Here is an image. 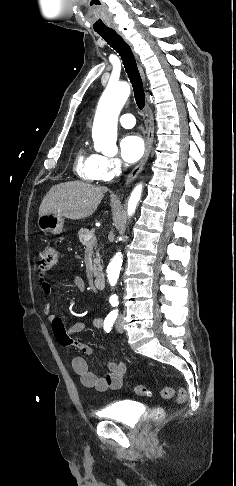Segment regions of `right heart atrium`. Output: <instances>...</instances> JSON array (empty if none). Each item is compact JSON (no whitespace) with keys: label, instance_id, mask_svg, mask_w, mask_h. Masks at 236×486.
<instances>
[{"label":"right heart atrium","instance_id":"d8ad5b80","mask_svg":"<svg viewBox=\"0 0 236 486\" xmlns=\"http://www.w3.org/2000/svg\"><path fill=\"white\" fill-rule=\"evenodd\" d=\"M122 168L118 158L105 155H96L95 177L98 181H109L116 177Z\"/></svg>","mask_w":236,"mask_h":486}]
</instances>
